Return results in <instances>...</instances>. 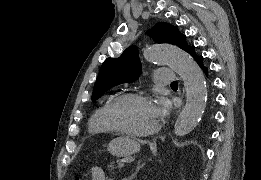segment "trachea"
I'll use <instances>...</instances> for the list:
<instances>
[{
	"label": "trachea",
	"mask_w": 261,
	"mask_h": 180,
	"mask_svg": "<svg viewBox=\"0 0 261 180\" xmlns=\"http://www.w3.org/2000/svg\"><path fill=\"white\" fill-rule=\"evenodd\" d=\"M172 84H178V82H177V81H174V82H172Z\"/></svg>",
	"instance_id": "obj_1"
}]
</instances>
